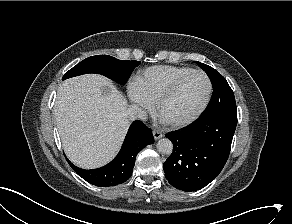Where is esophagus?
<instances>
[{"instance_id": "esophagus-1", "label": "esophagus", "mask_w": 292, "mask_h": 224, "mask_svg": "<svg viewBox=\"0 0 292 224\" xmlns=\"http://www.w3.org/2000/svg\"><path fill=\"white\" fill-rule=\"evenodd\" d=\"M152 133H153V136H154L155 140H158V139L163 137V133L160 132V131L154 130Z\"/></svg>"}]
</instances>
